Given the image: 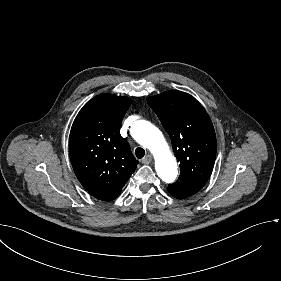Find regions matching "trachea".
<instances>
[{
	"instance_id": "3493384b",
	"label": "trachea",
	"mask_w": 281,
	"mask_h": 281,
	"mask_svg": "<svg viewBox=\"0 0 281 281\" xmlns=\"http://www.w3.org/2000/svg\"><path fill=\"white\" fill-rule=\"evenodd\" d=\"M135 155H136V157L138 158V159H142L143 157H144V155H145V151H144V149L143 148H137L136 150H135Z\"/></svg>"
}]
</instances>
